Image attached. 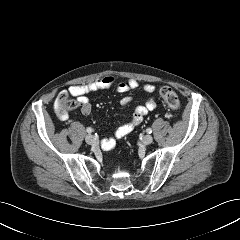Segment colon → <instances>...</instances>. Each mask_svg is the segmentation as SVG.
Returning a JSON list of instances; mask_svg holds the SVG:
<instances>
[{
	"label": "colon",
	"mask_w": 240,
	"mask_h": 240,
	"mask_svg": "<svg viewBox=\"0 0 240 240\" xmlns=\"http://www.w3.org/2000/svg\"><path fill=\"white\" fill-rule=\"evenodd\" d=\"M160 95L171 109H178L180 106L179 97L169 86H164L160 90ZM58 106L62 114H66L76 108V102L67 95H61L58 100Z\"/></svg>",
	"instance_id": "colon-1"
}]
</instances>
